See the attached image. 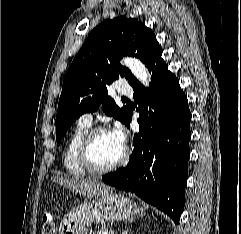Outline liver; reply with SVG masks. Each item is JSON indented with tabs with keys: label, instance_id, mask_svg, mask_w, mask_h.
Listing matches in <instances>:
<instances>
[{
	"label": "liver",
	"instance_id": "6515ba94",
	"mask_svg": "<svg viewBox=\"0 0 241 234\" xmlns=\"http://www.w3.org/2000/svg\"><path fill=\"white\" fill-rule=\"evenodd\" d=\"M53 182L58 183L60 186L71 190L72 192L82 194L89 198L99 197L106 192H109L111 188L97 179H79V178H67V177H53Z\"/></svg>",
	"mask_w": 241,
	"mask_h": 234
}]
</instances>
